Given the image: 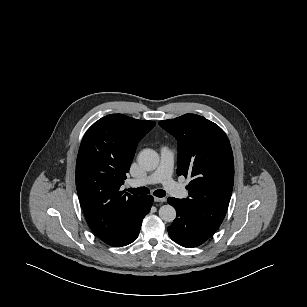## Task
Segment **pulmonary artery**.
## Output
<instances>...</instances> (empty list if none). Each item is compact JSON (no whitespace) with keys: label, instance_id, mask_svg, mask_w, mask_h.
<instances>
[{"label":"pulmonary artery","instance_id":"pulmonary-artery-1","mask_svg":"<svg viewBox=\"0 0 307 307\" xmlns=\"http://www.w3.org/2000/svg\"><path fill=\"white\" fill-rule=\"evenodd\" d=\"M174 152L164 146L160 150V163L157 169L150 175L142 179H130L128 185L130 187H139L148 184L161 183L165 189L178 198H185L187 191L172 179Z\"/></svg>","mask_w":307,"mask_h":307}]
</instances>
